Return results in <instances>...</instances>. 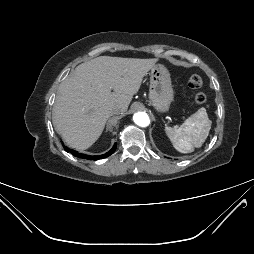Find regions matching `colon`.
Returning a JSON list of instances; mask_svg holds the SVG:
<instances>
[{
    "mask_svg": "<svg viewBox=\"0 0 254 254\" xmlns=\"http://www.w3.org/2000/svg\"><path fill=\"white\" fill-rule=\"evenodd\" d=\"M201 86H202V78L197 74L191 75L190 78L188 79V87L193 91H197ZM194 101L198 105L204 104L206 102L205 94L199 91L196 92L194 94Z\"/></svg>",
    "mask_w": 254,
    "mask_h": 254,
    "instance_id": "5ec220e1",
    "label": "colon"
}]
</instances>
